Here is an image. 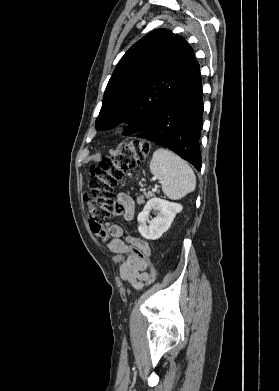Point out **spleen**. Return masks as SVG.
Segmentation results:
<instances>
[{
	"mask_svg": "<svg viewBox=\"0 0 279 391\" xmlns=\"http://www.w3.org/2000/svg\"><path fill=\"white\" fill-rule=\"evenodd\" d=\"M150 172L162 183L164 194L173 200L181 199L193 192L196 176L188 163L175 153L157 149L150 161Z\"/></svg>",
	"mask_w": 279,
	"mask_h": 391,
	"instance_id": "obj_1",
	"label": "spleen"
}]
</instances>
